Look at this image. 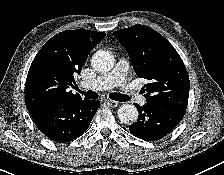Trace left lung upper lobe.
Returning <instances> with one entry per match:
<instances>
[{"label":"left lung upper lobe","instance_id":"1","mask_svg":"<svg viewBox=\"0 0 224 175\" xmlns=\"http://www.w3.org/2000/svg\"><path fill=\"white\" fill-rule=\"evenodd\" d=\"M113 34L127 49L137 76L148 80L142 88L147 103L186 110L190 82L175 48L145 25H134Z\"/></svg>","mask_w":224,"mask_h":175}]
</instances>
